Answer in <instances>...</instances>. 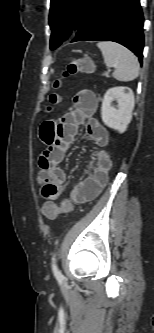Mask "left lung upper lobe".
Returning a JSON list of instances; mask_svg holds the SVG:
<instances>
[{
  "mask_svg": "<svg viewBox=\"0 0 154 333\" xmlns=\"http://www.w3.org/2000/svg\"><path fill=\"white\" fill-rule=\"evenodd\" d=\"M96 0H51L49 25L52 30L50 48L61 44L64 35L78 29Z\"/></svg>",
  "mask_w": 154,
  "mask_h": 333,
  "instance_id": "1",
  "label": "left lung upper lobe"
}]
</instances>
